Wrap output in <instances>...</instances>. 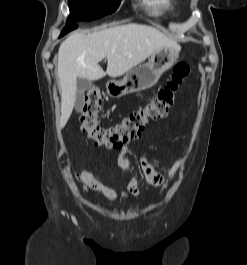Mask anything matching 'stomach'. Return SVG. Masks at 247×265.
<instances>
[{
  "instance_id": "0dacf381",
  "label": "stomach",
  "mask_w": 247,
  "mask_h": 265,
  "mask_svg": "<svg viewBox=\"0 0 247 265\" xmlns=\"http://www.w3.org/2000/svg\"><path fill=\"white\" fill-rule=\"evenodd\" d=\"M180 48L163 47L156 50L148 62L130 70L123 79L110 80L107 93L113 98L146 90L158 82L161 75L169 70L178 60Z\"/></svg>"
}]
</instances>
